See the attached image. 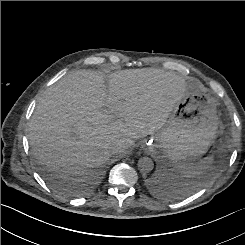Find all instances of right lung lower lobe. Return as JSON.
Masks as SVG:
<instances>
[{
  "mask_svg": "<svg viewBox=\"0 0 245 245\" xmlns=\"http://www.w3.org/2000/svg\"><path fill=\"white\" fill-rule=\"evenodd\" d=\"M49 183L56 189H59L61 191H65L64 187L54 178H48Z\"/></svg>",
  "mask_w": 245,
  "mask_h": 245,
  "instance_id": "obj_1",
  "label": "right lung lower lobe"
}]
</instances>
